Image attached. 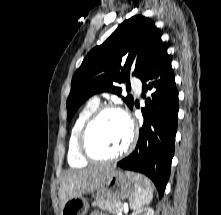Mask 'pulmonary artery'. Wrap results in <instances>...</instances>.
Here are the masks:
<instances>
[{"label": "pulmonary artery", "mask_w": 221, "mask_h": 215, "mask_svg": "<svg viewBox=\"0 0 221 215\" xmlns=\"http://www.w3.org/2000/svg\"><path fill=\"white\" fill-rule=\"evenodd\" d=\"M131 83H132L133 87L135 88L136 92L139 93L140 90H141V82H140V80L137 79V78H133L131 80Z\"/></svg>", "instance_id": "pulmonary-artery-1"}]
</instances>
